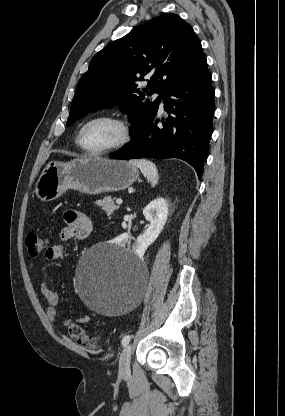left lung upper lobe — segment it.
Listing matches in <instances>:
<instances>
[{"label": "left lung upper lobe", "mask_w": 285, "mask_h": 416, "mask_svg": "<svg viewBox=\"0 0 285 416\" xmlns=\"http://www.w3.org/2000/svg\"><path fill=\"white\" fill-rule=\"evenodd\" d=\"M204 56L192 27L176 14H163L136 27L112 42L91 60L79 81L66 125L88 112L118 104L128 114L131 136L139 132L158 111L166 92ZM150 77L148 89L138 82Z\"/></svg>", "instance_id": "5c2ea615"}]
</instances>
